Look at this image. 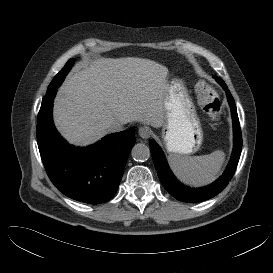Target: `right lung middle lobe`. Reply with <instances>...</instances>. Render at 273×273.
I'll use <instances>...</instances> for the list:
<instances>
[{"label": "right lung middle lobe", "mask_w": 273, "mask_h": 273, "mask_svg": "<svg viewBox=\"0 0 273 273\" xmlns=\"http://www.w3.org/2000/svg\"><path fill=\"white\" fill-rule=\"evenodd\" d=\"M74 59H70L65 66L62 68V70L54 77L52 82L50 83L46 94H49L53 91H55L63 82L64 78L66 77L67 73L70 71L71 67L73 66Z\"/></svg>", "instance_id": "obj_1"}]
</instances>
